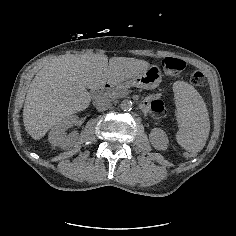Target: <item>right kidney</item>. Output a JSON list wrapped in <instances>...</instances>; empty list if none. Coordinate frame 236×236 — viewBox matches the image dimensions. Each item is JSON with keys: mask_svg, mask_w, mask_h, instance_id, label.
Wrapping results in <instances>:
<instances>
[{"mask_svg": "<svg viewBox=\"0 0 236 236\" xmlns=\"http://www.w3.org/2000/svg\"><path fill=\"white\" fill-rule=\"evenodd\" d=\"M77 119L72 117L63 121L60 127L50 131L48 140L52 146H58L61 149H68L79 145V134L76 131L71 132L68 136L65 135V128L77 123Z\"/></svg>", "mask_w": 236, "mask_h": 236, "instance_id": "1", "label": "right kidney"}]
</instances>
